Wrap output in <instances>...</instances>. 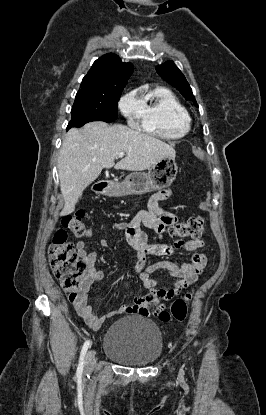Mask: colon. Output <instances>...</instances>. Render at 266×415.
<instances>
[{
  "label": "colon",
  "instance_id": "1",
  "mask_svg": "<svg viewBox=\"0 0 266 415\" xmlns=\"http://www.w3.org/2000/svg\"><path fill=\"white\" fill-rule=\"evenodd\" d=\"M62 225L63 227L54 234L49 246V261L69 300L74 301L79 295L81 278L86 272V264L76 253L73 243L68 240L66 230L68 229L76 237L88 236L90 231L84 224L83 212L65 217ZM168 232L174 237L199 239L204 234L203 220L199 216H194L185 221L176 222L169 227ZM191 298L192 292L175 300L169 310L147 306L144 312L165 322L183 321L187 316Z\"/></svg>",
  "mask_w": 266,
  "mask_h": 415
}]
</instances>
